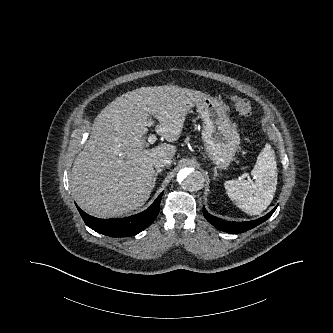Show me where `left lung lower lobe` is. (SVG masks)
<instances>
[{"label": "left lung lower lobe", "instance_id": "obj_1", "mask_svg": "<svg viewBox=\"0 0 333 333\" xmlns=\"http://www.w3.org/2000/svg\"><path fill=\"white\" fill-rule=\"evenodd\" d=\"M276 208H277V206L272 211H270L267 215H265L259 219H256L254 221H247V222H228V221L222 220L218 217L210 215L204 207H203V214H204L205 218L212 225H214L217 229H219L221 231H224L227 233H242V232L250 230V229L256 227L257 225L263 223L264 221H266L274 213Z\"/></svg>", "mask_w": 333, "mask_h": 333}]
</instances>
